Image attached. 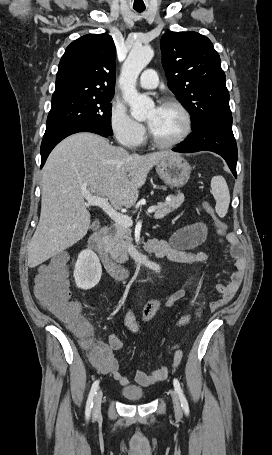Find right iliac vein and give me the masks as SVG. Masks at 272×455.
Returning <instances> with one entry per match:
<instances>
[{"mask_svg": "<svg viewBox=\"0 0 272 455\" xmlns=\"http://www.w3.org/2000/svg\"><path fill=\"white\" fill-rule=\"evenodd\" d=\"M102 396H103L102 390H99L94 399V405H93V415L94 416H96L100 413Z\"/></svg>", "mask_w": 272, "mask_h": 455, "instance_id": "right-iliac-vein-1", "label": "right iliac vein"}]
</instances>
